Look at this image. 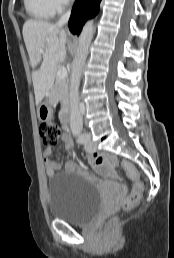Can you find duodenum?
Here are the masks:
<instances>
[{
	"mask_svg": "<svg viewBox=\"0 0 174 258\" xmlns=\"http://www.w3.org/2000/svg\"><path fill=\"white\" fill-rule=\"evenodd\" d=\"M61 120L64 125H69L70 123V106L69 102L65 100L62 104V109H61Z\"/></svg>",
	"mask_w": 174,
	"mask_h": 258,
	"instance_id": "1",
	"label": "duodenum"
}]
</instances>
